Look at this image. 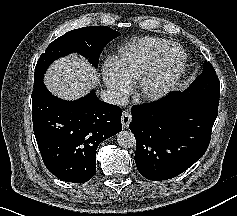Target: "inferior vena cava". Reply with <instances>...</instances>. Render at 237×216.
<instances>
[{"mask_svg": "<svg viewBox=\"0 0 237 216\" xmlns=\"http://www.w3.org/2000/svg\"><path fill=\"white\" fill-rule=\"evenodd\" d=\"M100 99L106 103L123 107L126 105L125 98L113 89H105L100 93Z\"/></svg>", "mask_w": 237, "mask_h": 216, "instance_id": "1", "label": "inferior vena cava"}]
</instances>
